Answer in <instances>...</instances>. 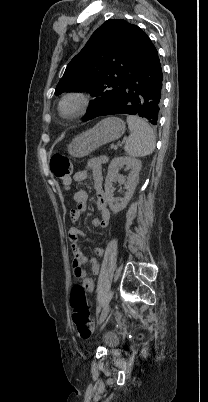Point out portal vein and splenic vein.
<instances>
[{"mask_svg": "<svg viewBox=\"0 0 208 402\" xmlns=\"http://www.w3.org/2000/svg\"><path fill=\"white\" fill-rule=\"evenodd\" d=\"M112 148L116 150L117 145H116V144H113V145H112Z\"/></svg>", "mask_w": 208, "mask_h": 402, "instance_id": "obj_1", "label": "portal vein and splenic vein"}]
</instances>
